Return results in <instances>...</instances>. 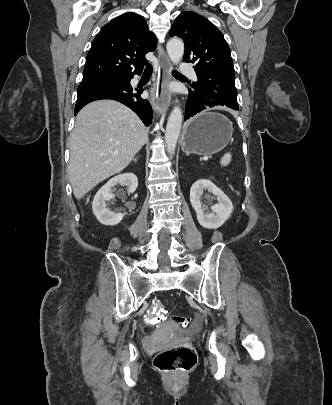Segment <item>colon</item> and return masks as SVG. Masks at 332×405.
Instances as JSON below:
<instances>
[{
    "mask_svg": "<svg viewBox=\"0 0 332 405\" xmlns=\"http://www.w3.org/2000/svg\"><path fill=\"white\" fill-rule=\"evenodd\" d=\"M166 320L175 328H185L191 321L189 317L170 315L161 302L156 301L149 307L146 322L148 324H157ZM196 362L195 349L189 343L159 351L153 359V364L159 371L169 374L186 373L196 365Z\"/></svg>",
    "mask_w": 332,
    "mask_h": 405,
    "instance_id": "1",
    "label": "colon"
}]
</instances>
